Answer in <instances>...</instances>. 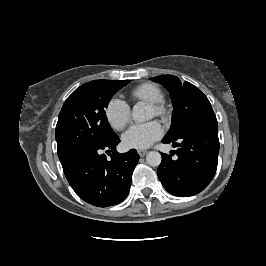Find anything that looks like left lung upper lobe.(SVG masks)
Instances as JSON below:
<instances>
[{
    "label": "left lung upper lobe",
    "mask_w": 266,
    "mask_h": 266,
    "mask_svg": "<svg viewBox=\"0 0 266 266\" xmlns=\"http://www.w3.org/2000/svg\"><path fill=\"white\" fill-rule=\"evenodd\" d=\"M151 80L162 84L171 94L173 102L172 124L166 139H174L196 123L214 116L207 97L193 84L173 75H161Z\"/></svg>",
    "instance_id": "left-lung-upper-lobe-1"
}]
</instances>
